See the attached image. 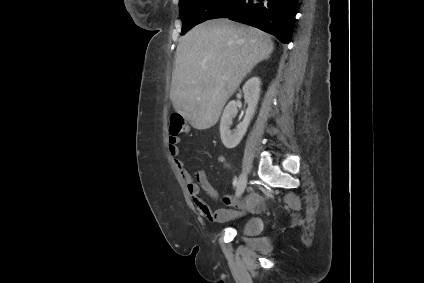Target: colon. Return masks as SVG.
Returning <instances> with one entry per match:
<instances>
[{
	"instance_id": "colon-1",
	"label": "colon",
	"mask_w": 424,
	"mask_h": 283,
	"mask_svg": "<svg viewBox=\"0 0 424 283\" xmlns=\"http://www.w3.org/2000/svg\"><path fill=\"white\" fill-rule=\"evenodd\" d=\"M169 132L171 135L177 136L186 131L187 124L182 114L174 112L169 118Z\"/></svg>"
}]
</instances>
